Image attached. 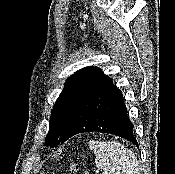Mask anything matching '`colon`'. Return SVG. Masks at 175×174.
I'll list each match as a JSON object with an SVG mask.
<instances>
[{
	"mask_svg": "<svg viewBox=\"0 0 175 174\" xmlns=\"http://www.w3.org/2000/svg\"><path fill=\"white\" fill-rule=\"evenodd\" d=\"M74 170H78V167L76 165H73ZM83 174H88L87 172H83Z\"/></svg>",
	"mask_w": 175,
	"mask_h": 174,
	"instance_id": "5ec220e1",
	"label": "colon"
}]
</instances>
